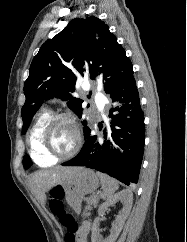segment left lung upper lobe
Instances as JSON below:
<instances>
[{
    "instance_id": "obj_1",
    "label": "left lung upper lobe",
    "mask_w": 187,
    "mask_h": 242,
    "mask_svg": "<svg viewBox=\"0 0 187 242\" xmlns=\"http://www.w3.org/2000/svg\"><path fill=\"white\" fill-rule=\"evenodd\" d=\"M133 67L108 25L95 16L75 18L52 39L47 40L34 57L29 77L24 83L26 101L21 110L22 133L25 134L32 117L44 100L53 97L68 100V107L80 118L82 100L74 92L79 76L99 80L106 93H111L133 75ZM84 136L89 132L83 121ZM32 162L23 159L24 168Z\"/></svg>"
}]
</instances>
